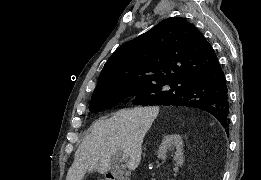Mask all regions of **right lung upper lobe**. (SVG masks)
<instances>
[{
  "label": "right lung upper lobe",
  "mask_w": 261,
  "mask_h": 180,
  "mask_svg": "<svg viewBox=\"0 0 261 180\" xmlns=\"http://www.w3.org/2000/svg\"><path fill=\"white\" fill-rule=\"evenodd\" d=\"M217 63L212 46L194 25L182 17L168 18L114 52L91 99L162 80L187 81Z\"/></svg>",
  "instance_id": "cb5924a9"
}]
</instances>
